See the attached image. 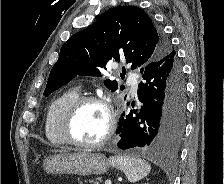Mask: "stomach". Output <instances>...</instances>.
Wrapping results in <instances>:
<instances>
[{
  "label": "stomach",
  "instance_id": "0dacf381",
  "mask_svg": "<svg viewBox=\"0 0 224 184\" xmlns=\"http://www.w3.org/2000/svg\"><path fill=\"white\" fill-rule=\"evenodd\" d=\"M109 167L110 163L103 154L87 151L57 154L43 162V168L49 174L102 175Z\"/></svg>",
  "mask_w": 224,
  "mask_h": 184
}]
</instances>
